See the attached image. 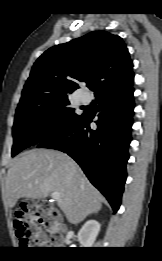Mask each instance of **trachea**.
<instances>
[{"label":"trachea","instance_id":"1","mask_svg":"<svg viewBox=\"0 0 162 261\" xmlns=\"http://www.w3.org/2000/svg\"><path fill=\"white\" fill-rule=\"evenodd\" d=\"M89 88H90L91 90H93V89H94V86H89Z\"/></svg>","mask_w":162,"mask_h":261}]
</instances>
